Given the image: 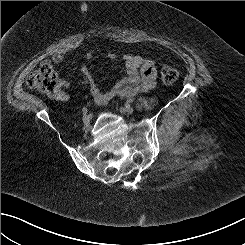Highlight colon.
Returning a JSON list of instances; mask_svg holds the SVG:
<instances>
[{"instance_id": "colon-1", "label": "colon", "mask_w": 245, "mask_h": 245, "mask_svg": "<svg viewBox=\"0 0 245 245\" xmlns=\"http://www.w3.org/2000/svg\"><path fill=\"white\" fill-rule=\"evenodd\" d=\"M178 79V72L171 67L161 70V80L165 85H172ZM27 86L32 90L44 93L50 97H58L60 90L57 85V74L50 64H42L37 70L31 72L26 80Z\"/></svg>"}]
</instances>
